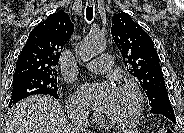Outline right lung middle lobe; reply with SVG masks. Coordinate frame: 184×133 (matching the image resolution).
Listing matches in <instances>:
<instances>
[{
	"label": "right lung middle lobe",
	"mask_w": 184,
	"mask_h": 133,
	"mask_svg": "<svg viewBox=\"0 0 184 133\" xmlns=\"http://www.w3.org/2000/svg\"><path fill=\"white\" fill-rule=\"evenodd\" d=\"M57 76H24L13 78L12 98L9 107L23 98L34 94H45L59 98L57 94Z\"/></svg>",
	"instance_id": "obj_1"
}]
</instances>
